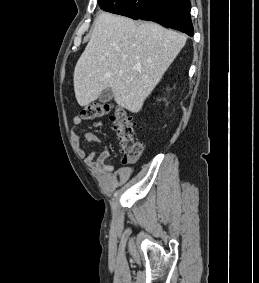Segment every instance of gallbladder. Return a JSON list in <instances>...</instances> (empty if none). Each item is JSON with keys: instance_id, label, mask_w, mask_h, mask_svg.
<instances>
[{"instance_id": "1", "label": "gallbladder", "mask_w": 259, "mask_h": 283, "mask_svg": "<svg viewBox=\"0 0 259 283\" xmlns=\"http://www.w3.org/2000/svg\"><path fill=\"white\" fill-rule=\"evenodd\" d=\"M114 94L111 88H107L105 90H103L101 92V94L99 95V101L102 103H106L109 102L110 100H112Z\"/></svg>"}]
</instances>
